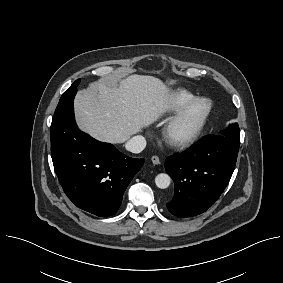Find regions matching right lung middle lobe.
Here are the masks:
<instances>
[{
    "label": "right lung middle lobe",
    "instance_id": "obj_1",
    "mask_svg": "<svg viewBox=\"0 0 283 283\" xmlns=\"http://www.w3.org/2000/svg\"><path fill=\"white\" fill-rule=\"evenodd\" d=\"M79 79L78 80H76L71 86H70V88L69 89H72V88H74L75 86H77L78 85V83H79Z\"/></svg>",
    "mask_w": 283,
    "mask_h": 283
}]
</instances>
